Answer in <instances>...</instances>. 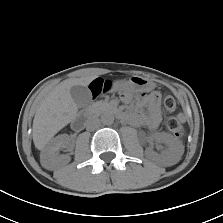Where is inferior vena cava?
Masks as SVG:
<instances>
[{
    "mask_svg": "<svg viewBox=\"0 0 223 223\" xmlns=\"http://www.w3.org/2000/svg\"><path fill=\"white\" fill-rule=\"evenodd\" d=\"M100 125H101V122L98 118H92L87 121L86 129L89 131H94V130L98 129L100 127Z\"/></svg>",
    "mask_w": 223,
    "mask_h": 223,
    "instance_id": "obj_1",
    "label": "inferior vena cava"
}]
</instances>
